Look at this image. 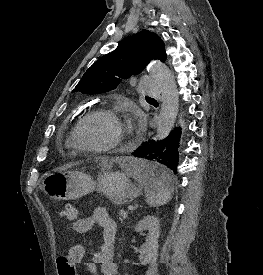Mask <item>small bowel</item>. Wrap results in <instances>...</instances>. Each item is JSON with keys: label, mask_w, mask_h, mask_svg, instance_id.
I'll return each instance as SVG.
<instances>
[{"label": "small bowel", "mask_w": 263, "mask_h": 275, "mask_svg": "<svg viewBox=\"0 0 263 275\" xmlns=\"http://www.w3.org/2000/svg\"><path fill=\"white\" fill-rule=\"evenodd\" d=\"M95 225L102 228L103 242L95 252L90 262L86 263L89 275H116L117 264L114 261V242L117 226L106 209L97 207L90 216L77 219L73 223V230L77 233H86Z\"/></svg>", "instance_id": "obj_1"}]
</instances>
